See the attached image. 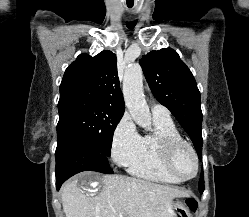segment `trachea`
I'll use <instances>...</instances> for the list:
<instances>
[{
    "label": "trachea",
    "instance_id": "obj_1",
    "mask_svg": "<svg viewBox=\"0 0 249 217\" xmlns=\"http://www.w3.org/2000/svg\"><path fill=\"white\" fill-rule=\"evenodd\" d=\"M129 8H132V5H128Z\"/></svg>",
    "mask_w": 249,
    "mask_h": 217
}]
</instances>
